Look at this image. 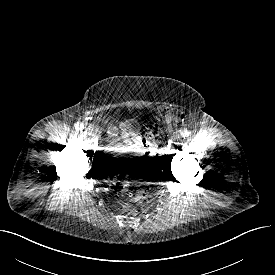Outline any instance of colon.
Returning a JSON list of instances; mask_svg holds the SVG:
<instances>
[{
  "mask_svg": "<svg viewBox=\"0 0 275 275\" xmlns=\"http://www.w3.org/2000/svg\"><path fill=\"white\" fill-rule=\"evenodd\" d=\"M161 115L171 121L179 122L185 118L184 112L175 107H163L160 111ZM157 132L152 131L146 139V144L151 145L152 141L157 139ZM126 173L119 172L116 176V180L113 184V189L116 193L118 202L122 205L123 210L127 213H133L134 208L126 202L127 199H130L135 202H142L147 198V192L144 189H138L134 192H131L129 189V183L126 180Z\"/></svg>",
  "mask_w": 275,
  "mask_h": 275,
  "instance_id": "1",
  "label": "colon"
}]
</instances>
